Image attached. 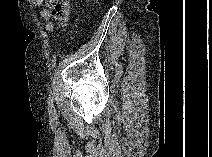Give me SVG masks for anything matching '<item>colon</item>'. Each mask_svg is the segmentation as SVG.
<instances>
[{
	"label": "colon",
	"mask_w": 212,
	"mask_h": 157,
	"mask_svg": "<svg viewBox=\"0 0 212 157\" xmlns=\"http://www.w3.org/2000/svg\"><path fill=\"white\" fill-rule=\"evenodd\" d=\"M47 4L52 18L59 25H66L70 17V3L66 0H49Z\"/></svg>",
	"instance_id": "5ec220e1"
}]
</instances>
